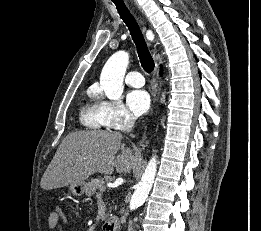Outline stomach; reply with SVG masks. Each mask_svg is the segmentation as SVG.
I'll list each match as a JSON object with an SVG mask.
<instances>
[{"mask_svg": "<svg viewBox=\"0 0 261 231\" xmlns=\"http://www.w3.org/2000/svg\"><path fill=\"white\" fill-rule=\"evenodd\" d=\"M85 186H86L85 182L70 185L69 194H71L73 196H81L85 192Z\"/></svg>", "mask_w": 261, "mask_h": 231, "instance_id": "obj_1", "label": "stomach"}]
</instances>
